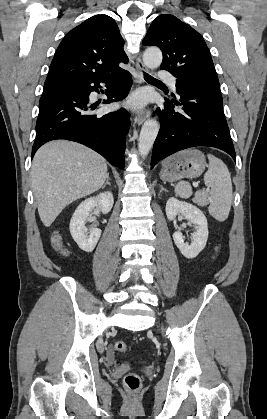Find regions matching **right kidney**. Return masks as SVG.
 I'll use <instances>...</instances> for the list:
<instances>
[{"mask_svg": "<svg viewBox=\"0 0 267 419\" xmlns=\"http://www.w3.org/2000/svg\"><path fill=\"white\" fill-rule=\"evenodd\" d=\"M113 194L109 191L100 193L95 197L84 200L75 210L70 220V233L79 248L85 252H92L101 236V230L91 228L89 235L85 222L90 212L98 207L103 214H107L113 207Z\"/></svg>", "mask_w": 267, "mask_h": 419, "instance_id": "ca27d5eb", "label": "right kidney"}]
</instances>
